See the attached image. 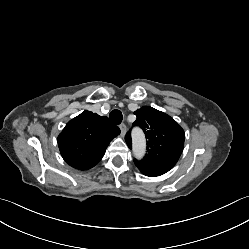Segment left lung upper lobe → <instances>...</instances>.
I'll use <instances>...</instances> for the list:
<instances>
[{
    "label": "left lung upper lobe",
    "mask_w": 249,
    "mask_h": 249,
    "mask_svg": "<svg viewBox=\"0 0 249 249\" xmlns=\"http://www.w3.org/2000/svg\"><path fill=\"white\" fill-rule=\"evenodd\" d=\"M134 114L137 119L133 126L142 128L148 139L146 156L141 161L135 159L134 163L144 175L160 176L177 163L184 147V131L169 115L150 106H144ZM125 140L131 148L130 132Z\"/></svg>",
    "instance_id": "obj_1"
}]
</instances>
